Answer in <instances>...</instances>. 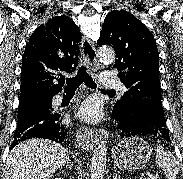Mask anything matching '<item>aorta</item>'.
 <instances>
[{
	"label": "aorta",
	"instance_id": "aorta-1",
	"mask_svg": "<svg viewBox=\"0 0 183 179\" xmlns=\"http://www.w3.org/2000/svg\"><path fill=\"white\" fill-rule=\"evenodd\" d=\"M98 55L101 61L112 63L115 60V52L110 47H101L98 50ZM107 162V147L106 142L101 141L93 152L90 165L91 179H104L105 167Z\"/></svg>",
	"mask_w": 183,
	"mask_h": 179
}]
</instances>
